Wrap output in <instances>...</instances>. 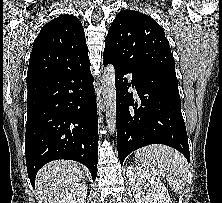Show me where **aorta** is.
<instances>
[{
	"label": "aorta",
	"mask_w": 222,
	"mask_h": 203,
	"mask_svg": "<svg viewBox=\"0 0 222 203\" xmlns=\"http://www.w3.org/2000/svg\"><path fill=\"white\" fill-rule=\"evenodd\" d=\"M102 93L106 107L107 126L113 134L116 131V87L115 68L107 65L102 76Z\"/></svg>",
	"instance_id": "obj_1"
}]
</instances>
